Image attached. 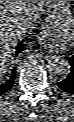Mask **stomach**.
<instances>
[{
  "instance_id": "1",
  "label": "stomach",
  "mask_w": 74,
  "mask_h": 122,
  "mask_svg": "<svg viewBox=\"0 0 74 122\" xmlns=\"http://www.w3.org/2000/svg\"><path fill=\"white\" fill-rule=\"evenodd\" d=\"M72 13L71 10L69 9V6L66 5L64 2L61 6H58L57 8H54L53 15L50 16L48 22L50 24L53 23H65L69 21ZM45 31V29H44Z\"/></svg>"
}]
</instances>
